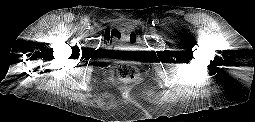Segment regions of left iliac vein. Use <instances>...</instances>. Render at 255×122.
Returning <instances> with one entry per match:
<instances>
[{"label": "left iliac vein", "mask_w": 255, "mask_h": 122, "mask_svg": "<svg viewBox=\"0 0 255 122\" xmlns=\"http://www.w3.org/2000/svg\"><path fill=\"white\" fill-rule=\"evenodd\" d=\"M150 31L155 32L156 31L155 27H150Z\"/></svg>", "instance_id": "left-iliac-vein-1"}]
</instances>
